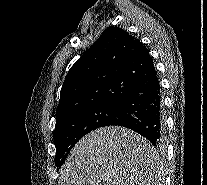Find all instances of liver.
<instances>
[{"label":"liver","instance_id":"1","mask_svg":"<svg viewBox=\"0 0 207 185\" xmlns=\"http://www.w3.org/2000/svg\"><path fill=\"white\" fill-rule=\"evenodd\" d=\"M154 157L151 143L135 131L100 127L71 149L61 185H151Z\"/></svg>","mask_w":207,"mask_h":185}]
</instances>
